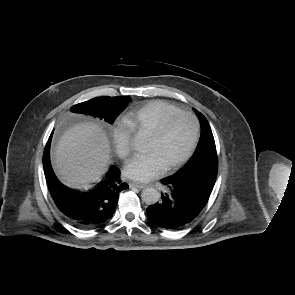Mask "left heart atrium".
I'll use <instances>...</instances> for the list:
<instances>
[{
    "label": "left heart atrium",
    "mask_w": 295,
    "mask_h": 295,
    "mask_svg": "<svg viewBox=\"0 0 295 295\" xmlns=\"http://www.w3.org/2000/svg\"><path fill=\"white\" fill-rule=\"evenodd\" d=\"M164 170V166L153 152L133 157L125 166L126 175L134 180L145 182Z\"/></svg>",
    "instance_id": "obj_1"
}]
</instances>
